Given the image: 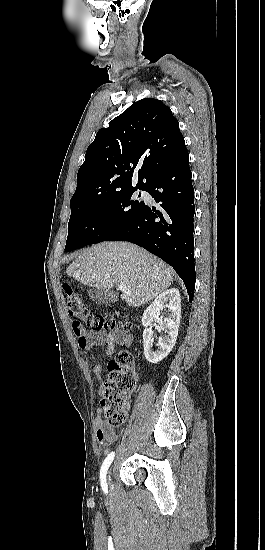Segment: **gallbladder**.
Masks as SVG:
<instances>
[{
    "label": "gallbladder",
    "mask_w": 265,
    "mask_h": 550,
    "mask_svg": "<svg viewBox=\"0 0 265 550\" xmlns=\"http://www.w3.org/2000/svg\"><path fill=\"white\" fill-rule=\"evenodd\" d=\"M87 293L89 297L99 305H104L109 302H116L118 300V296L114 294L113 292L102 289V288H90L87 290Z\"/></svg>",
    "instance_id": "1"
}]
</instances>
